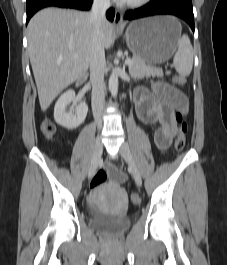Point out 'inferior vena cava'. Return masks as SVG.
I'll use <instances>...</instances> for the list:
<instances>
[{
	"mask_svg": "<svg viewBox=\"0 0 227 265\" xmlns=\"http://www.w3.org/2000/svg\"><path fill=\"white\" fill-rule=\"evenodd\" d=\"M110 7V0H94L90 19L93 23L92 51L90 56V80L92 83V111L98 127L102 126V113L105 107L104 73L106 67L102 23Z\"/></svg>",
	"mask_w": 227,
	"mask_h": 265,
	"instance_id": "602c4592",
	"label": "inferior vena cava"
}]
</instances>
